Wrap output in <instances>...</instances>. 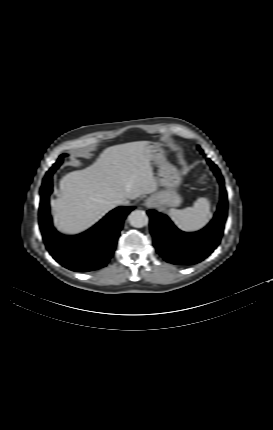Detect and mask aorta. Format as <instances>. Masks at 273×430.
<instances>
[{"label": "aorta", "instance_id": "aorta-1", "mask_svg": "<svg viewBox=\"0 0 273 430\" xmlns=\"http://www.w3.org/2000/svg\"><path fill=\"white\" fill-rule=\"evenodd\" d=\"M128 221L131 226L136 228H142L148 224V216L145 211L134 210L128 216Z\"/></svg>", "mask_w": 273, "mask_h": 430}]
</instances>
